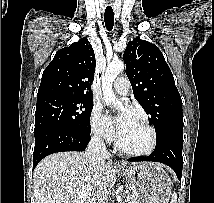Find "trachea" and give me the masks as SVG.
<instances>
[{"label": "trachea", "mask_w": 214, "mask_h": 203, "mask_svg": "<svg viewBox=\"0 0 214 203\" xmlns=\"http://www.w3.org/2000/svg\"><path fill=\"white\" fill-rule=\"evenodd\" d=\"M104 22L107 30L111 31L114 25V12L111 6H107L105 9Z\"/></svg>", "instance_id": "obj_1"}]
</instances>
